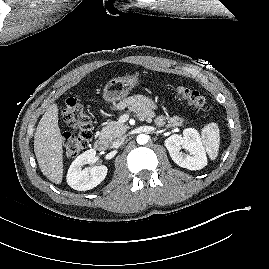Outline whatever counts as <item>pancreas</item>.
<instances>
[{"mask_svg": "<svg viewBox=\"0 0 269 269\" xmlns=\"http://www.w3.org/2000/svg\"><path fill=\"white\" fill-rule=\"evenodd\" d=\"M166 121L168 124L166 125L167 127H176V126H181L184 123V119L179 117V116H159L155 120V124L159 127L163 126ZM129 127L121 122L118 121H111L107 124L106 127H103L100 133V137L102 139H105L109 142H111L113 139L121 137L128 129Z\"/></svg>", "mask_w": 269, "mask_h": 269, "instance_id": "cf45deb5", "label": "pancreas"}]
</instances>
